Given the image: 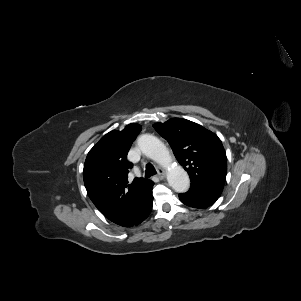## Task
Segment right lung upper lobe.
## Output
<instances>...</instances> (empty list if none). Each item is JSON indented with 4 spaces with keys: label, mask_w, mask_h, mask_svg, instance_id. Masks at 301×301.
<instances>
[{
    "label": "right lung upper lobe",
    "mask_w": 301,
    "mask_h": 301,
    "mask_svg": "<svg viewBox=\"0 0 301 301\" xmlns=\"http://www.w3.org/2000/svg\"><path fill=\"white\" fill-rule=\"evenodd\" d=\"M140 131V125L129 124L122 131L107 133L89 151L84 164V184L90 199L118 225L135 212L152 182L142 178L128 182L133 164L126 157Z\"/></svg>",
    "instance_id": "1"
}]
</instances>
